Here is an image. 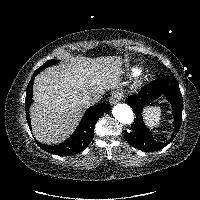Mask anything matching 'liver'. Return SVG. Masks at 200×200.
I'll list each match as a JSON object with an SVG mask.
<instances>
[{
    "label": "liver",
    "mask_w": 200,
    "mask_h": 200,
    "mask_svg": "<svg viewBox=\"0 0 200 200\" xmlns=\"http://www.w3.org/2000/svg\"><path fill=\"white\" fill-rule=\"evenodd\" d=\"M121 73L118 56H76L42 71L35 78L30 108L35 138L45 144L64 141L82 116V97L97 95L100 99L106 90L119 86Z\"/></svg>",
    "instance_id": "obj_1"
}]
</instances>
